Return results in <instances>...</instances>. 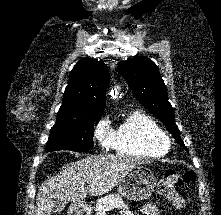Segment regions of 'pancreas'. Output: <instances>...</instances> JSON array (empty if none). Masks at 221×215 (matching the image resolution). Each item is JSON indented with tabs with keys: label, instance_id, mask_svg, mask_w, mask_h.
I'll use <instances>...</instances> for the list:
<instances>
[{
	"label": "pancreas",
	"instance_id": "obj_1",
	"mask_svg": "<svg viewBox=\"0 0 221 215\" xmlns=\"http://www.w3.org/2000/svg\"><path fill=\"white\" fill-rule=\"evenodd\" d=\"M128 208V205L117 194H109L101 198L95 208L96 215H106V212L113 209Z\"/></svg>",
	"mask_w": 221,
	"mask_h": 215
}]
</instances>
